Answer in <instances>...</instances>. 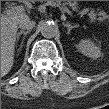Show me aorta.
Segmentation results:
<instances>
[{
	"label": "aorta",
	"mask_w": 109,
	"mask_h": 109,
	"mask_svg": "<svg viewBox=\"0 0 109 109\" xmlns=\"http://www.w3.org/2000/svg\"><path fill=\"white\" fill-rule=\"evenodd\" d=\"M40 31L43 37L53 38L58 32V27L52 22H43L40 27Z\"/></svg>",
	"instance_id": "obj_1"
}]
</instances>
